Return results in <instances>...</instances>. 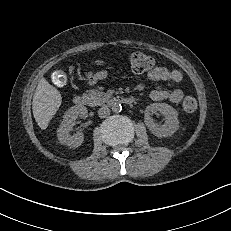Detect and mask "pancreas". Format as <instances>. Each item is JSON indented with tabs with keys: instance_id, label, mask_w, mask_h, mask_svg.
<instances>
[{
	"instance_id": "obj_1",
	"label": "pancreas",
	"mask_w": 231,
	"mask_h": 231,
	"mask_svg": "<svg viewBox=\"0 0 231 231\" xmlns=\"http://www.w3.org/2000/svg\"><path fill=\"white\" fill-rule=\"evenodd\" d=\"M87 95L92 102V105H102L110 98L109 94L97 91L95 89L90 90Z\"/></svg>"
}]
</instances>
